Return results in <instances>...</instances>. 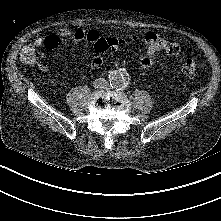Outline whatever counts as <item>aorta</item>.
<instances>
[{
	"mask_svg": "<svg viewBox=\"0 0 221 221\" xmlns=\"http://www.w3.org/2000/svg\"><path fill=\"white\" fill-rule=\"evenodd\" d=\"M112 87L116 89L126 88L130 82V77L126 71H113L109 75Z\"/></svg>",
	"mask_w": 221,
	"mask_h": 221,
	"instance_id": "1",
	"label": "aorta"
}]
</instances>
